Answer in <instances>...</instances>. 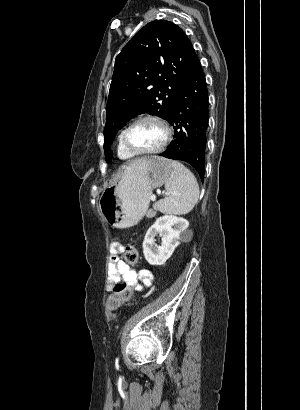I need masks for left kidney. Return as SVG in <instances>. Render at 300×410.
Returning a JSON list of instances; mask_svg holds the SVG:
<instances>
[{"instance_id":"5707ae66","label":"left kidney","mask_w":300,"mask_h":410,"mask_svg":"<svg viewBox=\"0 0 300 410\" xmlns=\"http://www.w3.org/2000/svg\"><path fill=\"white\" fill-rule=\"evenodd\" d=\"M189 226L188 220L174 216L163 215L147 230L143 241V254L151 265H163L180 244V236ZM160 235L162 243L155 245V237Z\"/></svg>"}]
</instances>
